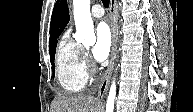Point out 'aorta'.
Here are the masks:
<instances>
[{
  "mask_svg": "<svg viewBox=\"0 0 193 112\" xmlns=\"http://www.w3.org/2000/svg\"><path fill=\"white\" fill-rule=\"evenodd\" d=\"M73 14L76 26L75 39L79 43L93 45L96 41L90 13V0H73ZM116 84L112 82L107 98L106 112L114 111Z\"/></svg>",
  "mask_w": 193,
  "mask_h": 112,
  "instance_id": "762f6f07",
  "label": "aorta"
}]
</instances>
